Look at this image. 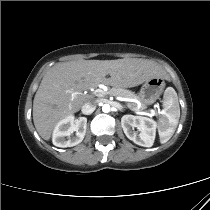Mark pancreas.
Masks as SVG:
<instances>
[{"label": "pancreas", "mask_w": 210, "mask_h": 210, "mask_svg": "<svg viewBox=\"0 0 210 210\" xmlns=\"http://www.w3.org/2000/svg\"><path fill=\"white\" fill-rule=\"evenodd\" d=\"M108 94L111 96H118V97L131 98V99L137 98V95L134 92L120 87H113L109 89ZM132 105L135 106L134 103H132Z\"/></svg>", "instance_id": "cf45deb5"}]
</instances>
